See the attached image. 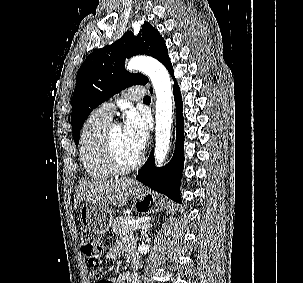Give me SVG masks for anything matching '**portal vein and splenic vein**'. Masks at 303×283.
<instances>
[{"label":"portal vein and splenic vein","instance_id":"1","mask_svg":"<svg viewBox=\"0 0 303 283\" xmlns=\"http://www.w3.org/2000/svg\"><path fill=\"white\" fill-rule=\"evenodd\" d=\"M131 224H134L135 227L134 229H139L143 226L142 222L141 221H135V220H132V221H129Z\"/></svg>","mask_w":303,"mask_h":283}]
</instances>
